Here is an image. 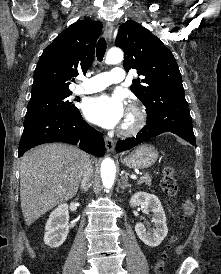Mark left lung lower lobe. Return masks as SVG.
<instances>
[{"instance_id":"left-lung-lower-lobe-1","label":"left lung lower lobe","mask_w":221,"mask_h":274,"mask_svg":"<svg viewBox=\"0 0 221 274\" xmlns=\"http://www.w3.org/2000/svg\"><path fill=\"white\" fill-rule=\"evenodd\" d=\"M147 115L148 121L136 137L117 142L118 152L131 149L164 132H172L196 147L187 101L181 100L168 107L157 108Z\"/></svg>"}]
</instances>
